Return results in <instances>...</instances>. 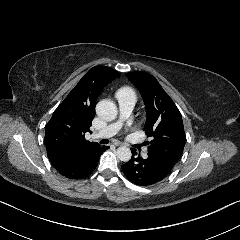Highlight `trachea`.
<instances>
[{
    "mask_svg": "<svg viewBox=\"0 0 240 240\" xmlns=\"http://www.w3.org/2000/svg\"><path fill=\"white\" fill-rule=\"evenodd\" d=\"M100 142L103 143V144H107L108 143V141H106L105 139L101 140Z\"/></svg>",
    "mask_w": 240,
    "mask_h": 240,
    "instance_id": "obj_1",
    "label": "trachea"
}]
</instances>
